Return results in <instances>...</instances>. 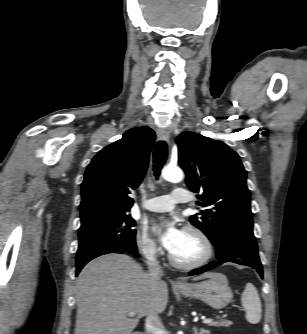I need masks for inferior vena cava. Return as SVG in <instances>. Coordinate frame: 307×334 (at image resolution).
I'll return each mask as SVG.
<instances>
[{"instance_id":"obj_1","label":"inferior vena cava","mask_w":307,"mask_h":334,"mask_svg":"<svg viewBox=\"0 0 307 334\" xmlns=\"http://www.w3.org/2000/svg\"><path fill=\"white\" fill-rule=\"evenodd\" d=\"M149 274L153 280H159L163 275V271L159 262L154 256V248L151 250L150 260L148 262ZM163 325L157 313L151 311L145 320V328L148 334H158Z\"/></svg>"}]
</instances>
